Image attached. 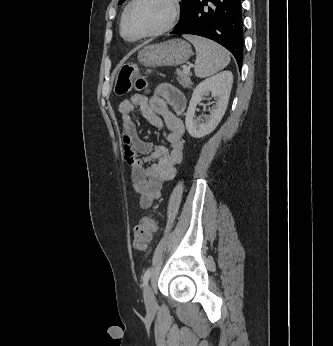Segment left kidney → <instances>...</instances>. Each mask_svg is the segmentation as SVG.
<instances>
[{
	"label": "left kidney",
	"mask_w": 333,
	"mask_h": 346,
	"mask_svg": "<svg viewBox=\"0 0 333 346\" xmlns=\"http://www.w3.org/2000/svg\"><path fill=\"white\" fill-rule=\"evenodd\" d=\"M232 83V72L222 71L205 79L194 89L185 118L187 131L192 137L202 138L210 134L220 123L228 105ZM209 92L216 99V104L209 110L210 115L204 122L194 120L197 104L203 95Z\"/></svg>",
	"instance_id": "5707ae66"
}]
</instances>
